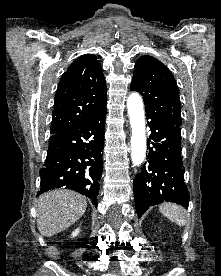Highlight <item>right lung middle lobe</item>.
I'll return each instance as SVG.
<instances>
[{"label":"right lung middle lobe","mask_w":221,"mask_h":276,"mask_svg":"<svg viewBox=\"0 0 221 276\" xmlns=\"http://www.w3.org/2000/svg\"><path fill=\"white\" fill-rule=\"evenodd\" d=\"M53 139H54V138H50L49 143H52Z\"/></svg>","instance_id":"obj_1"}]
</instances>
